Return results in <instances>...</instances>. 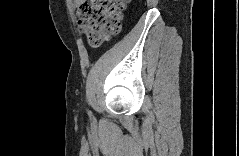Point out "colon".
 <instances>
[{
  "label": "colon",
  "mask_w": 239,
  "mask_h": 156,
  "mask_svg": "<svg viewBox=\"0 0 239 156\" xmlns=\"http://www.w3.org/2000/svg\"><path fill=\"white\" fill-rule=\"evenodd\" d=\"M123 0H90L78 8V23L93 47L104 44L121 30Z\"/></svg>",
  "instance_id": "obj_1"
}]
</instances>
